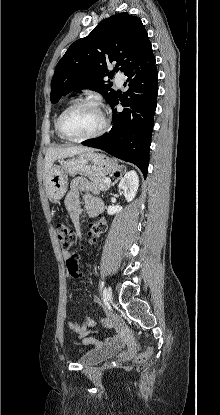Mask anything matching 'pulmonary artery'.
<instances>
[{
  "label": "pulmonary artery",
  "instance_id": "pulmonary-artery-1",
  "mask_svg": "<svg viewBox=\"0 0 220 415\" xmlns=\"http://www.w3.org/2000/svg\"><path fill=\"white\" fill-rule=\"evenodd\" d=\"M124 79H125V77H124V75H123L122 73H117V74L115 75V81H116V83H117V85H118L119 87H121V86H122V84H123V82H124Z\"/></svg>",
  "mask_w": 220,
  "mask_h": 415
}]
</instances>
